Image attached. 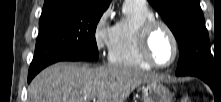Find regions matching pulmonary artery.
I'll list each match as a JSON object with an SVG mask.
<instances>
[{
	"instance_id": "obj_1",
	"label": "pulmonary artery",
	"mask_w": 221,
	"mask_h": 102,
	"mask_svg": "<svg viewBox=\"0 0 221 102\" xmlns=\"http://www.w3.org/2000/svg\"><path fill=\"white\" fill-rule=\"evenodd\" d=\"M126 1H128V0H126ZM135 1L146 3L145 0H135Z\"/></svg>"
}]
</instances>
